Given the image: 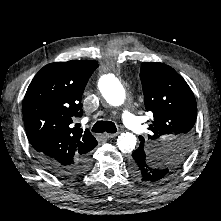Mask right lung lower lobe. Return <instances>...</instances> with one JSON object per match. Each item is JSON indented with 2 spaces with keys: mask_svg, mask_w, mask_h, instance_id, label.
Wrapping results in <instances>:
<instances>
[{
  "mask_svg": "<svg viewBox=\"0 0 221 221\" xmlns=\"http://www.w3.org/2000/svg\"><path fill=\"white\" fill-rule=\"evenodd\" d=\"M44 167L52 174L60 178H70L82 175L91 166V154L72 163H62L54 159L37 156Z\"/></svg>",
  "mask_w": 221,
  "mask_h": 221,
  "instance_id": "obj_1",
  "label": "right lung lower lobe"
}]
</instances>
